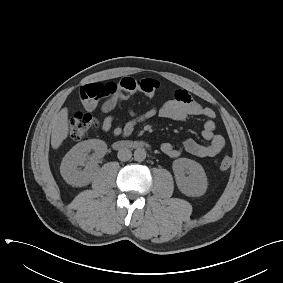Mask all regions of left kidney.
<instances>
[{
	"mask_svg": "<svg viewBox=\"0 0 283 283\" xmlns=\"http://www.w3.org/2000/svg\"><path fill=\"white\" fill-rule=\"evenodd\" d=\"M172 168L176 184L183 194L199 197L206 192L207 176L199 163L191 159L179 158L174 160Z\"/></svg>",
	"mask_w": 283,
	"mask_h": 283,
	"instance_id": "left-kidney-1",
	"label": "left kidney"
}]
</instances>
